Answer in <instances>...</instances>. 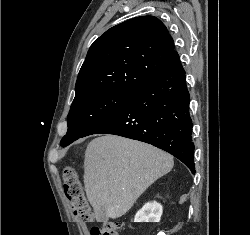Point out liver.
I'll return each instance as SVG.
<instances>
[{
  "label": "liver",
  "instance_id": "liver-1",
  "mask_svg": "<svg viewBox=\"0 0 250 235\" xmlns=\"http://www.w3.org/2000/svg\"><path fill=\"white\" fill-rule=\"evenodd\" d=\"M173 166V157L152 145L116 135L93 139L85 152L84 185L97 221L101 207L109 218L124 215Z\"/></svg>",
  "mask_w": 250,
  "mask_h": 235
}]
</instances>
